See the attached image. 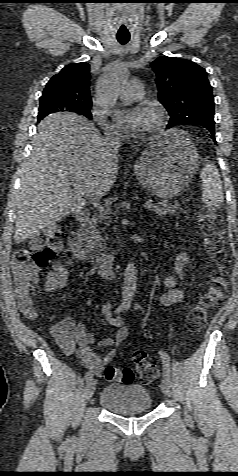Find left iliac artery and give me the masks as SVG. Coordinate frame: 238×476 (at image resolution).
Segmentation results:
<instances>
[{
    "label": "left iliac artery",
    "mask_w": 238,
    "mask_h": 476,
    "mask_svg": "<svg viewBox=\"0 0 238 476\" xmlns=\"http://www.w3.org/2000/svg\"><path fill=\"white\" fill-rule=\"evenodd\" d=\"M159 353L161 355V358H162L163 364H164L163 377L169 383H171V379H170V358H169L168 354L164 351H160Z\"/></svg>",
    "instance_id": "44dca946"
}]
</instances>
